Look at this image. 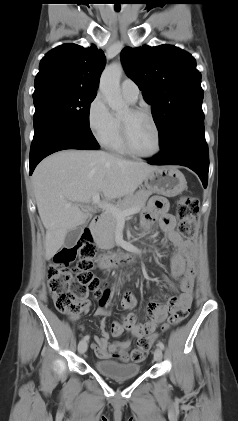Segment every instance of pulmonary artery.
<instances>
[{
    "label": "pulmonary artery",
    "instance_id": "1",
    "mask_svg": "<svg viewBox=\"0 0 238 421\" xmlns=\"http://www.w3.org/2000/svg\"><path fill=\"white\" fill-rule=\"evenodd\" d=\"M121 93L126 100L134 103L138 99L139 88L133 80L125 79L121 83Z\"/></svg>",
    "mask_w": 238,
    "mask_h": 421
}]
</instances>
